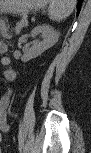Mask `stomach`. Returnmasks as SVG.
Instances as JSON below:
<instances>
[{
	"label": "stomach",
	"mask_w": 91,
	"mask_h": 153,
	"mask_svg": "<svg viewBox=\"0 0 91 153\" xmlns=\"http://www.w3.org/2000/svg\"><path fill=\"white\" fill-rule=\"evenodd\" d=\"M44 3L45 1H42V0H17V1L3 0L1 1V5L3 7L8 5L14 6L13 11L15 12L27 11L31 9L32 7H38Z\"/></svg>",
	"instance_id": "1"
}]
</instances>
